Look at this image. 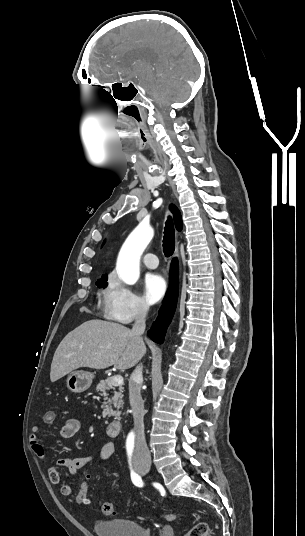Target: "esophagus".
<instances>
[{
	"label": "esophagus",
	"instance_id": "1",
	"mask_svg": "<svg viewBox=\"0 0 305 536\" xmlns=\"http://www.w3.org/2000/svg\"><path fill=\"white\" fill-rule=\"evenodd\" d=\"M175 258L179 259V241H177L176 244V250H175Z\"/></svg>",
	"mask_w": 305,
	"mask_h": 536
}]
</instances>
